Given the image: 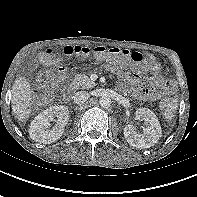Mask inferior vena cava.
Here are the masks:
<instances>
[{"label": "inferior vena cava", "instance_id": "obj_1", "mask_svg": "<svg viewBox=\"0 0 197 197\" xmlns=\"http://www.w3.org/2000/svg\"><path fill=\"white\" fill-rule=\"evenodd\" d=\"M90 95L86 91H78L74 94L73 99L74 102L78 105L84 104L88 99Z\"/></svg>", "mask_w": 197, "mask_h": 197}]
</instances>
